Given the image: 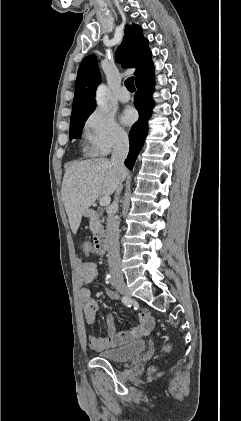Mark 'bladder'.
<instances>
[{
    "instance_id": "obj_1",
    "label": "bladder",
    "mask_w": 241,
    "mask_h": 421,
    "mask_svg": "<svg viewBox=\"0 0 241 421\" xmlns=\"http://www.w3.org/2000/svg\"><path fill=\"white\" fill-rule=\"evenodd\" d=\"M146 348V343L143 340L134 341L123 345L121 347L108 349L100 352L98 355L100 358L114 362L121 363L129 361L138 355H140Z\"/></svg>"
}]
</instances>
